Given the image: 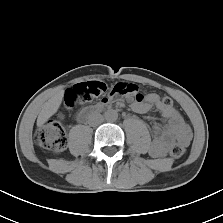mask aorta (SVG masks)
<instances>
[{"label": "aorta", "instance_id": "1", "mask_svg": "<svg viewBox=\"0 0 223 223\" xmlns=\"http://www.w3.org/2000/svg\"><path fill=\"white\" fill-rule=\"evenodd\" d=\"M105 119L109 122H114L118 118V113L116 110L110 109L105 112Z\"/></svg>", "mask_w": 223, "mask_h": 223}]
</instances>
